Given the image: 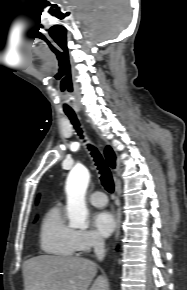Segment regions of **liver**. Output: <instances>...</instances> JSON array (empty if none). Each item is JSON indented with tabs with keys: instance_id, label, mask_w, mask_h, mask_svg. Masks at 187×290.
Masks as SVG:
<instances>
[{
	"instance_id": "liver-1",
	"label": "liver",
	"mask_w": 187,
	"mask_h": 290,
	"mask_svg": "<svg viewBox=\"0 0 187 290\" xmlns=\"http://www.w3.org/2000/svg\"><path fill=\"white\" fill-rule=\"evenodd\" d=\"M24 290H88L97 265L72 256L40 255L23 263ZM89 290H109L108 280L98 276Z\"/></svg>"
}]
</instances>
